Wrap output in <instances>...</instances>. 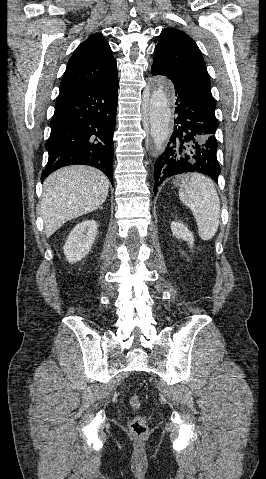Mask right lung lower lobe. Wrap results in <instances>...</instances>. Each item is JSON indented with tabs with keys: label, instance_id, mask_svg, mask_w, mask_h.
<instances>
[{
	"label": "right lung lower lobe",
	"instance_id": "obj_1",
	"mask_svg": "<svg viewBox=\"0 0 266 479\" xmlns=\"http://www.w3.org/2000/svg\"><path fill=\"white\" fill-rule=\"evenodd\" d=\"M118 77L89 86L60 90L46 143L49 159L41 181L67 165L102 170L113 184V133Z\"/></svg>",
	"mask_w": 266,
	"mask_h": 479
}]
</instances>
